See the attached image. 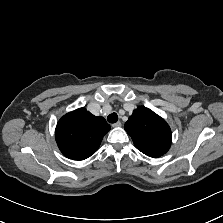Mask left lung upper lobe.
Here are the masks:
<instances>
[{
    "label": "left lung upper lobe",
    "mask_w": 223,
    "mask_h": 223,
    "mask_svg": "<svg viewBox=\"0 0 223 223\" xmlns=\"http://www.w3.org/2000/svg\"><path fill=\"white\" fill-rule=\"evenodd\" d=\"M138 150L150 157H160L171 145V130L163 118L149 108L138 107L124 126Z\"/></svg>",
    "instance_id": "1"
}]
</instances>
